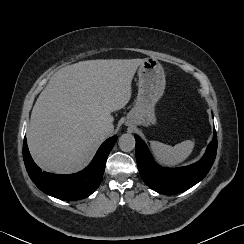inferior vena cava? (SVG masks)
Segmentation results:
<instances>
[{"mask_svg": "<svg viewBox=\"0 0 244 244\" xmlns=\"http://www.w3.org/2000/svg\"><path fill=\"white\" fill-rule=\"evenodd\" d=\"M114 127L112 123H104L100 127V132L105 136H109L113 133Z\"/></svg>", "mask_w": 244, "mask_h": 244, "instance_id": "obj_1", "label": "inferior vena cava"}]
</instances>
